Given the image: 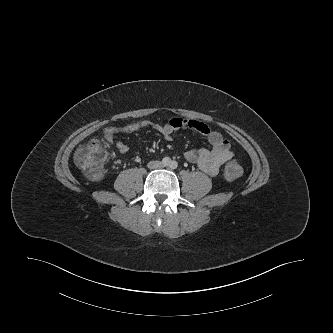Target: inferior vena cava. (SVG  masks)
Here are the masks:
<instances>
[{
    "label": "inferior vena cava",
    "instance_id": "1",
    "mask_svg": "<svg viewBox=\"0 0 333 333\" xmlns=\"http://www.w3.org/2000/svg\"><path fill=\"white\" fill-rule=\"evenodd\" d=\"M163 165L160 161H150L148 163V168L149 169H158L161 168Z\"/></svg>",
    "mask_w": 333,
    "mask_h": 333
}]
</instances>
